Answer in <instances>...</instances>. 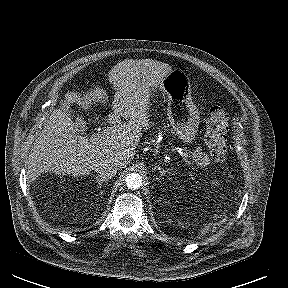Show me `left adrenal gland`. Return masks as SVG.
I'll return each mask as SVG.
<instances>
[{"label":"left adrenal gland","mask_w":288,"mask_h":288,"mask_svg":"<svg viewBox=\"0 0 288 288\" xmlns=\"http://www.w3.org/2000/svg\"><path fill=\"white\" fill-rule=\"evenodd\" d=\"M155 169H157L160 173L161 176H163L164 174H166L167 172H169V170L171 169H164V168H161L160 166H155Z\"/></svg>","instance_id":"a2214340"}]
</instances>
